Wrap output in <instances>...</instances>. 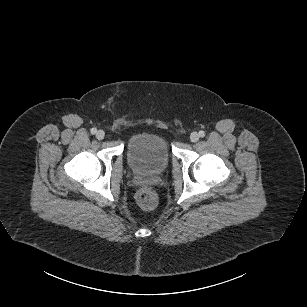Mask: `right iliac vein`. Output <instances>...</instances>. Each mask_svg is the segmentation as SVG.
Returning a JSON list of instances; mask_svg holds the SVG:
<instances>
[{
    "label": "right iliac vein",
    "instance_id": "63e3f726",
    "mask_svg": "<svg viewBox=\"0 0 307 307\" xmlns=\"http://www.w3.org/2000/svg\"><path fill=\"white\" fill-rule=\"evenodd\" d=\"M105 137V132L103 130H98L96 133V138L102 140Z\"/></svg>",
    "mask_w": 307,
    "mask_h": 307
}]
</instances>
